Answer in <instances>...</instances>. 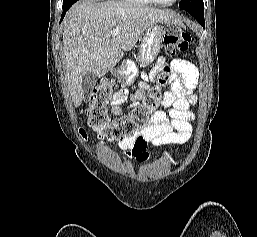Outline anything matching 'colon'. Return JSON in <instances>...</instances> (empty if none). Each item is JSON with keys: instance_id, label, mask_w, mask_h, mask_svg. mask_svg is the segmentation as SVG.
<instances>
[{"instance_id": "5ec220e1", "label": "colon", "mask_w": 257, "mask_h": 237, "mask_svg": "<svg viewBox=\"0 0 257 237\" xmlns=\"http://www.w3.org/2000/svg\"><path fill=\"white\" fill-rule=\"evenodd\" d=\"M191 36L176 27L166 31L164 44L170 55L186 53L189 49ZM169 67L164 65L158 78V84L152 86L143 98L139 108L118 119L109 116V105L115 97V85L112 80L103 79L93 89L87 109L88 125L101 139L119 141L139 133L145 128L148 118L154 114L161 100V86L166 82ZM80 133L84 135L81 128Z\"/></svg>"}]
</instances>
